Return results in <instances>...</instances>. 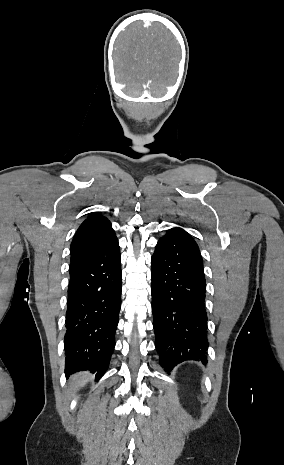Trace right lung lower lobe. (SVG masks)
<instances>
[{
    "instance_id": "1",
    "label": "right lung lower lobe",
    "mask_w": 284,
    "mask_h": 465,
    "mask_svg": "<svg viewBox=\"0 0 284 465\" xmlns=\"http://www.w3.org/2000/svg\"><path fill=\"white\" fill-rule=\"evenodd\" d=\"M121 260L115 237L70 264L66 334V375L90 370L100 378L115 347L121 307Z\"/></svg>"
}]
</instances>
